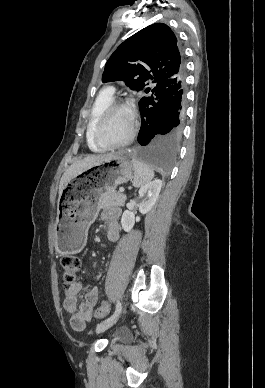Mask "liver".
Instances as JSON below:
<instances>
[{"mask_svg":"<svg viewBox=\"0 0 265 388\" xmlns=\"http://www.w3.org/2000/svg\"><path fill=\"white\" fill-rule=\"evenodd\" d=\"M106 156H113V154H104V156H91V158H84V160H79V162H76V164H72V166H70V168L64 172L60 180L59 196H61L62 190L65 184L69 182V180H72V178H75V176H78V174H81V172H84V170L92 168V166L98 164L101 158H106Z\"/></svg>","mask_w":265,"mask_h":388,"instance_id":"liver-1","label":"liver"}]
</instances>
